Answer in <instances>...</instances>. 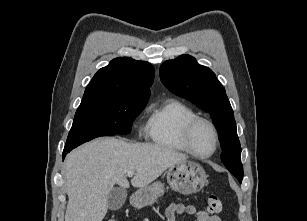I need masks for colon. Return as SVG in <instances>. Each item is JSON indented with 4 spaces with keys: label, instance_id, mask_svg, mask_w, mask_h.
Returning <instances> with one entry per match:
<instances>
[{
    "label": "colon",
    "instance_id": "obj_1",
    "mask_svg": "<svg viewBox=\"0 0 307 221\" xmlns=\"http://www.w3.org/2000/svg\"><path fill=\"white\" fill-rule=\"evenodd\" d=\"M206 204L209 212L213 214L221 213L223 210V205L221 200L214 194L207 195ZM108 221H116V220L110 219Z\"/></svg>",
    "mask_w": 307,
    "mask_h": 221
}]
</instances>
